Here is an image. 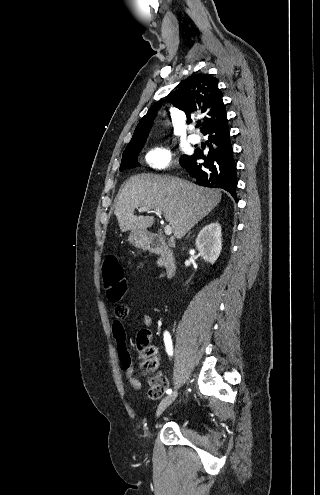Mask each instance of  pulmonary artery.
Listing matches in <instances>:
<instances>
[{
	"label": "pulmonary artery",
	"mask_w": 320,
	"mask_h": 495,
	"mask_svg": "<svg viewBox=\"0 0 320 495\" xmlns=\"http://www.w3.org/2000/svg\"><path fill=\"white\" fill-rule=\"evenodd\" d=\"M189 142L196 144L200 142V137L197 134H191L188 136Z\"/></svg>",
	"instance_id": "e3ab8cb5"
}]
</instances>
